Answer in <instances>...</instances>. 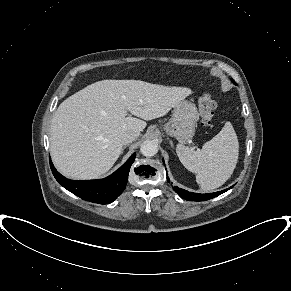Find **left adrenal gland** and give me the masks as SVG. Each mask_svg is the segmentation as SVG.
<instances>
[{"instance_id": "obj_1", "label": "left adrenal gland", "mask_w": 291, "mask_h": 291, "mask_svg": "<svg viewBox=\"0 0 291 291\" xmlns=\"http://www.w3.org/2000/svg\"><path fill=\"white\" fill-rule=\"evenodd\" d=\"M170 144H171V146L173 147V142L170 140Z\"/></svg>"}]
</instances>
